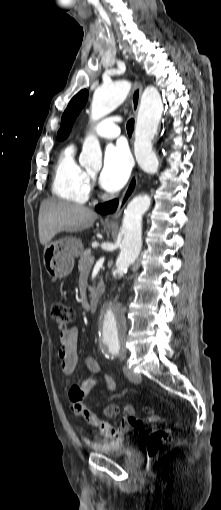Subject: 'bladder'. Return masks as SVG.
Instances as JSON below:
<instances>
[{
  "label": "bladder",
  "mask_w": 221,
  "mask_h": 510,
  "mask_svg": "<svg viewBox=\"0 0 221 510\" xmlns=\"http://www.w3.org/2000/svg\"><path fill=\"white\" fill-rule=\"evenodd\" d=\"M133 448L134 437L132 435L124 436L117 441L100 440L90 446L91 450L114 458L127 455Z\"/></svg>",
  "instance_id": "obj_1"
}]
</instances>
